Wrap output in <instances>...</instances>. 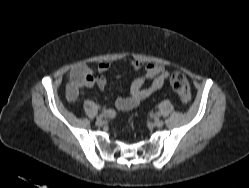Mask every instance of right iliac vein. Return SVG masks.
I'll return each instance as SVG.
<instances>
[{"label": "right iliac vein", "instance_id": "63e3f726", "mask_svg": "<svg viewBox=\"0 0 249 188\" xmlns=\"http://www.w3.org/2000/svg\"><path fill=\"white\" fill-rule=\"evenodd\" d=\"M104 124V121L102 119L96 120V125L102 126Z\"/></svg>", "mask_w": 249, "mask_h": 188}]
</instances>
